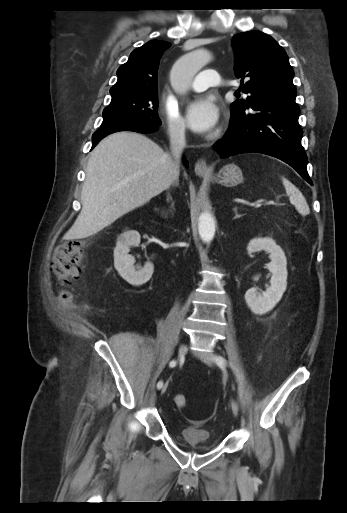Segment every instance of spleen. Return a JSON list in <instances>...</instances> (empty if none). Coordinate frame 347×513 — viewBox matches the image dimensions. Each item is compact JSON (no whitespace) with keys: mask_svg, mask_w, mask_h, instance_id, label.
<instances>
[{"mask_svg":"<svg viewBox=\"0 0 347 513\" xmlns=\"http://www.w3.org/2000/svg\"><path fill=\"white\" fill-rule=\"evenodd\" d=\"M283 186L286 190V194L289 196L291 204H293L296 210L303 216L309 214L310 209L307 201L301 191L287 178L284 176L281 178Z\"/></svg>","mask_w":347,"mask_h":513,"instance_id":"obj_1","label":"spleen"}]
</instances>
